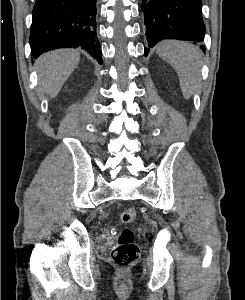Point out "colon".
Listing matches in <instances>:
<instances>
[{"label":"colon","mask_w":245,"mask_h":300,"mask_svg":"<svg viewBox=\"0 0 245 300\" xmlns=\"http://www.w3.org/2000/svg\"><path fill=\"white\" fill-rule=\"evenodd\" d=\"M137 217L134 208H125L121 211L119 220L123 224L132 223ZM139 256V249L135 243L134 233L130 229H124L112 250L111 258L115 265L126 268L134 263Z\"/></svg>","instance_id":"1"}]
</instances>
